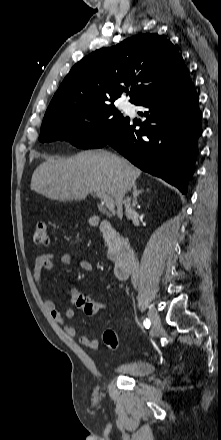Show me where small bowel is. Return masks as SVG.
Masks as SVG:
<instances>
[{
  "instance_id": "1",
  "label": "small bowel",
  "mask_w": 221,
  "mask_h": 440,
  "mask_svg": "<svg viewBox=\"0 0 221 440\" xmlns=\"http://www.w3.org/2000/svg\"><path fill=\"white\" fill-rule=\"evenodd\" d=\"M57 265H74L86 272H91L93 270V267L89 261L84 260L74 254H64L58 259L57 262L55 261V255L51 252L39 254L34 261L32 269V278L39 291L43 290V271L52 270ZM66 293L70 298V306L66 309L64 315L56 308L54 302L51 300L44 299L43 302L52 319L58 324L63 325L66 335L71 338H75L78 336V331L74 326L65 325V318L70 319L74 317L76 298L80 292L75 285L69 284L66 287ZM79 342L83 346L93 350H96L99 347V341L97 339H93L85 335L79 337Z\"/></svg>"
}]
</instances>
